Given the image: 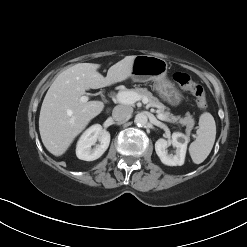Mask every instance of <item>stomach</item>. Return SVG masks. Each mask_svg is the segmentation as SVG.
<instances>
[{
  "mask_svg": "<svg viewBox=\"0 0 247 247\" xmlns=\"http://www.w3.org/2000/svg\"><path fill=\"white\" fill-rule=\"evenodd\" d=\"M168 63L161 57L138 55L133 61L131 79L134 82L153 81V90L158 96L172 106L183 100L182 93L167 77Z\"/></svg>",
  "mask_w": 247,
  "mask_h": 247,
  "instance_id": "0dacf381",
  "label": "stomach"
}]
</instances>
